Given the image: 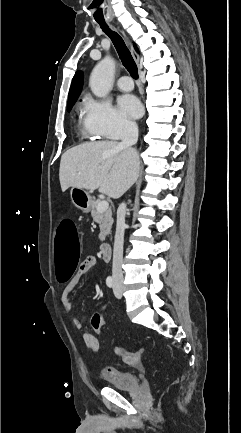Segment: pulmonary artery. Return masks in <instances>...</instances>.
<instances>
[{
    "label": "pulmonary artery",
    "mask_w": 241,
    "mask_h": 433,
    "mask_svg": "<svg viewBox=\"0 0 241 433\" xmlns=\"http://www.w3.org/2000/svg\"><path fill=\"white\" fill-rule=\"evenodd\" d=\"M117 86L122 91H130L133 89V82L129 76L123 75L117 81Z\"/></svg>",
    "instance_id": "pulmonary-artery-1"
}]
</instances>
